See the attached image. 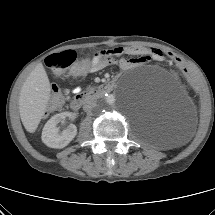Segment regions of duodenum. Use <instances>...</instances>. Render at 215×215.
Wrapping results in <instances>:
<instances>
[{"mask_svg": "<svg viewBox=\"0 0 215 215\" xmlns=\"http://www.w3.org/2000/svg\"><path fill=\"white\" fill-rule=\"evenodd\" d=\"M115 86L116 83L114 81H110L108 83L98 86L95 89L79 94L71 101L70 106L73 110H78L84 105L93 101L98 96L103 95L105 93H110L115 88Z\"/></svg>", "mask_w": 215, "mask_h": 215, "instance_id": "410a0bca", "label": "duodenum"}]
</instances>
